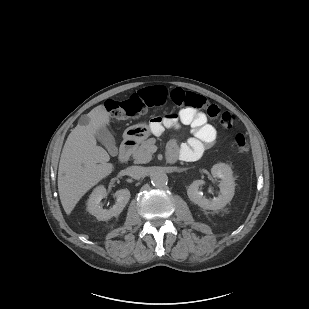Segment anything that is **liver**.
<instances>
[{
    "label": "liver",
    "instance_id": "liver-1",
    "mask_svg": "<svg viewBox=\"0 0 309 309\" xmlns=\"http://www.w3.org/2000/svg\"><path fill=\"white\" fill-rule=\"evenodd\" d=\"M110 122L104 105L92 109L69 134L59 162L58 191L61 204L70 215L76 204L93 186L114 170L107 151L97 145L95 134Z\"/></svg>",
    "mask_w": 309,
    "mask_h": 309
}]
</instances>
